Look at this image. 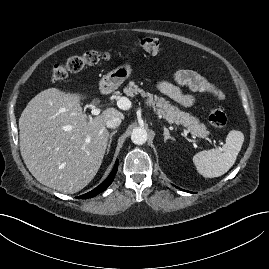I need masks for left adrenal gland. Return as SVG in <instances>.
<instances>
[{
  "mask_svg": "<svg viewBox=\"0 0 269 269\" xmlns=\"http://www.w3.org/2000/svg\"><path fill=\"white\" fill-rule=\"evenodd\" d=\"M164 129V142H166L168 139L175 140L173 137L170 136L169 130L166 127H163Z\"/></svg>",
  "mask_w": 269,
  "mask_h": 269,
  "instance_id": "1",
  "label": "left adrenal gland"
}]
</instances>
